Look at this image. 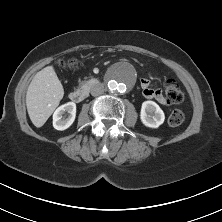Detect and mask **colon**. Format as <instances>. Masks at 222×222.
Returning <instances> with one entry per match:
<instances>
[{"label": "colon", "mask_w": 222, "mask_h": 222, "mask_svg": "<svg viewBox=\"0 0 222 222\" xmlns=\"http://www.w3.org/2000/svg\"><path fill=\"white\" fill-rule=\"evenodd\" d=\"M67 66H75L76 61L70 60L64 62ZM164 96L169 103H179L183 100V92L179 84L174 80H167L164 85ZM184 121V113L181 110H174L168 117L170 126H178Z\"/></svg>", "instance_id": "1"}]
</instances>
